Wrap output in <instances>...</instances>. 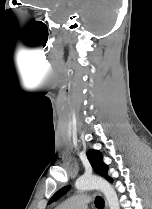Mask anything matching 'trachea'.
I'll use <instances>...</instances> for the list:
<instances>
[{
  "instance_id": "trachea-1",
  "label": "trachea",
  "mask_w": 152,
  "mask_h": 209,
  "mask_svg": "<svg viewBox=\"0 0 152 209\" xmlns=\"http://www.w3.org/2000/svg\"><path fill=\"white\" fill-rule=\"evenodd\" d=\"M95 205H96L98 208L103 207V206H104V200H103V198L100 197V196H97V197L95 198Z\"/></svg>"
}]
</instances>
